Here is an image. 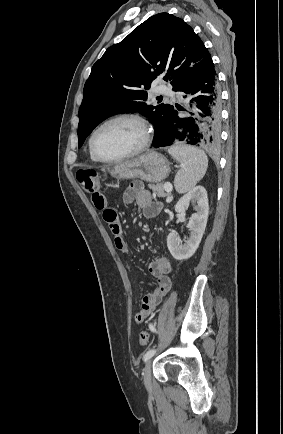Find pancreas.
Here are the masks:
<instances>
[{"label":"pancreas","instance_id":"cf45deb5","mask_svg":"<svg viewBox=\"0 0 283 434\" xmlns=\"http://www.w3.org/2000/svg\"><path fill=\"white\" fill-rule=\"evenodd\" d=\"M148 187L158 197L164 198V197H168L170 195V193H165V188H164V185L162 183H159L156 185L155 184H149Z\"/></svg>","mask_w":283,"mask_h":434}]
</instances>
